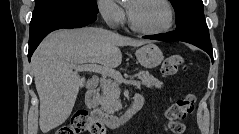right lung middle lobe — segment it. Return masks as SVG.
<instances>
[{"instance_id": "obj_1", "label": "right lung middle lobe", "mask_w": 239, "mask_h": 134, "mask_svg": "<svg viewBox=\"0 0 239 134\" xmlns=\"http://www.w3.org/2000/svg\"><path fill=\"white\" fill-rule=\"evenodd\" d=\"M64 8L98 13L96 0H36L30 24L35 23L40 18L53 11Z\"/></svg>"}]
</instances>
